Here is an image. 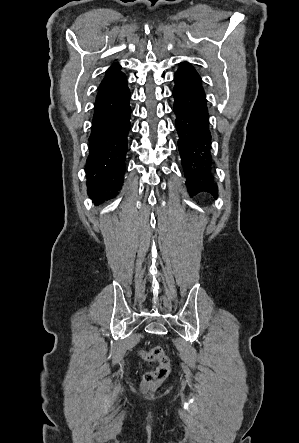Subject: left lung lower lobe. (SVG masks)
Returning <instances> with one entry per match:
<instances>
[{
	"instance_id": "1",
	"label": "left lung lower lobe",
	"mask_w": 299,
	"mask_h": 443,
	"mask_svg": "<svg viewBox=\"0 0 299 443\" xmlns=\"http://www.w3.org/2000/svg\"><path fill=\"white\" fill-rule=\"evenodd\" d=\"M174 81L173 110L176 114L178 149L188 191L191 196L208 192L217 198V184L214 182L209 152V116L201 78L189 63L183 62Z\"/></svg>"
}]
</instances>
